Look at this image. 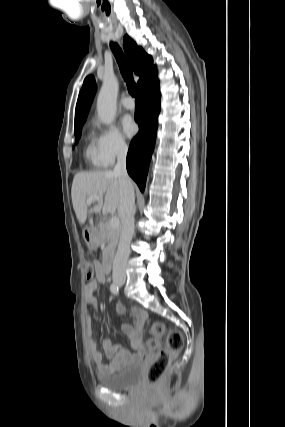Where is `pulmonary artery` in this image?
Wrapping results in <instances>:
<instances>
[{
  "label": "pulmonary artery",
  "instance_id": "1",
  "mask_svg": "<svg viewBox=\"0 0 285 427\" xmlns=\"http://www.w3.org/2000/svg\"><path fill=\"white\" fill-rule=\"evenodd\" d=\"M122 105H123L126 109L132 110V109H134V107H135V102H134V100H133L132 98H130V97H126V98H124V99L122 100Z\"/></svg>",
  "mask_w": 285,
  "mask_h": 427
}]
</instances>
